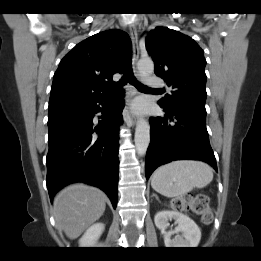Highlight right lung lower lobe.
<instances>
[{
  "label": "right lung lower lobe",
  "mask_w": 261,
  "mask_h": 261,
  "mask_svg": "<svg viewBox=\"0 0 261 261\" xmlns=\"http://www.w3.org/2000/svg\"><path fill=\"white\" fill-rule=\"evenodd\" d=\"M123 108L121 91L48 110L46 183L51 201L64 186L84 182L102 189L116 208ZM98 112L102 116L97 121Z\"/></svg>",
  "instance_id": "obj_1"
}]
</instances>
